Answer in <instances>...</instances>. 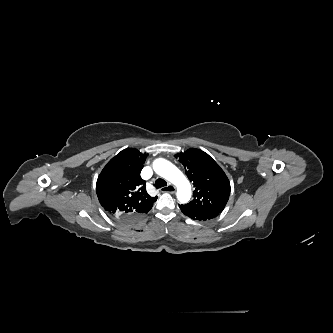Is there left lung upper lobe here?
<instances>
[{
    "label": "left lung upper lobe",
    "mask_w": 333,
    "mask_h": 333,
    "mask_svg": "<svg viewBox=\"0 0 333 333\" xmlns=\"http://www.w3.org/2000/svg\"><path fill=\"white\" fill-rule=\"evenodd\" d=\"M177 156L195 187L193 200L182 205L197 212L220 214L230 195V183L223 170L199 149L191 148Z\"/></svg>",
    "instance_id": "obj_1"
}]
</instances>
